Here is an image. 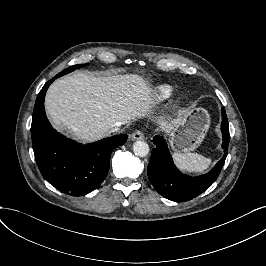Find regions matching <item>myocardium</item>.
Returning <instances> with one entry per match:
<instances>
[{
	"label": "myocardium",
	"mask_w": 266,
	"mask_h": 266,
	"mask_svg": "<svg viewBox=\"0 0 266 266\" xmlns=\"http://www.w3.org/2000/svg\"><path fill=\"white\" fill-rule=\"evenodd\" d=\"M184 104V101L181 97H178L175 101H174V104H173V108L178 111L182 108Z\"/></svg>",
	"instance_id": "f54148a6"
}]
</instances>
